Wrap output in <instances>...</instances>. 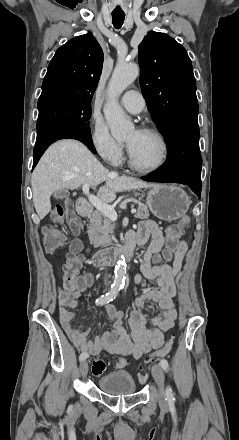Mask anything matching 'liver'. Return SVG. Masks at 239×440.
I'll return each instance as SVG.
<instances>
[{
	"mask_svg": "<svg viewBox=\"0 0 239 440\" xmlns=\"http://www.w3.org/2000/svg\"><path fill=\"white\" fill-rule=\"evenodd\" d=\"M105 186L97 192L102 202H113L117 192H130L139 188H153L155 184H146L129 176H118L109 172L86 146L77 140H59L52 144L32 174V192L35 210L43 220L51 210L50 196L56 190H76L83 184Z\"/></svg>",
	"mask_w": 239,
	"mask_h": 440,
	"instance_id": "6515ba94",
	"label": "liver"
}]
</instances>
